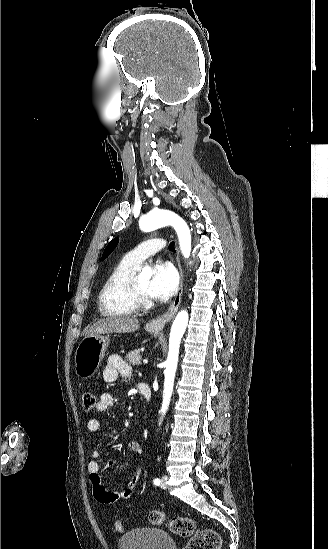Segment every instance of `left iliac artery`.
I'll list each match as a JSON object with an SVG mask.
<instances>
[{"label":"left iliac artery","instance_id":"1","mask_svg":"<svg viewBox=\"0 0 328 549\" xmlns=\"http://www.w3.org/2000/svg\"><path fill=\"white\" fill-rule=\"evenodd\" d=\"M153 482H154L155 485H159V484H160V480H159L158 478L155 479Z\"/></svg>","mask_w":328,"mask_h":549}]
</instances>
